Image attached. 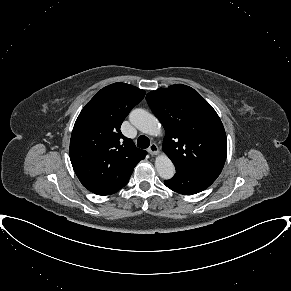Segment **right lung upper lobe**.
Here are the masks:
<instances>
[{
    "instance_id": "cb5924a9",
    "label": "right lung upper lobe",
    "mask_w": 291,
    "mask_h": 291,
    "mask_svg": "<svg viewBox=\"0 0 291 291\" xmlns=\"http://www.w3.org/2000/svg\"><path fill=\"white\" fill-rule=\"evenodd\" d=\"M145 96L126 83L101 89L79 114L70 140V159L80 182L97 195L123 188L147 152L125 137L120 126Z\"/></svg>"
}]
</instances>
